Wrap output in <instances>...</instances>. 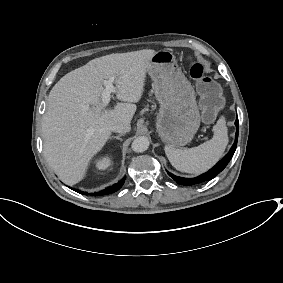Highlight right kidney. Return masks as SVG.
Returning <instances> with one entry per match:
<instances>
[{
  "label": "right kidney",
  "instance_id": "1",
  "mask_svg": "<svg viewBox=\"0 0 283 283\" xmlns=\"http://www.w3.org/2000/svg\"><path fill=\"white\" fill-rule=\"evenodd\" d=\"M111 165V158L108 156L102 157L95 161V166L98 170H105Z\"/></svg>",
  "mask_w": 283,
  "mask_h": 283
}]
</instances>
